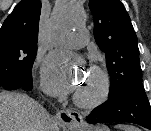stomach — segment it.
Segmentation results:
<instances>
[{"label": "stomach", "instance_id": "1", "mask_svg": "<svg viewBox=\"0 0 151 131\" xmlns=\"http://www.w3.org/2000/svg\"><path fill=\"white\" fill-rule=\"evenodd\" d=\"M77 131L78 129H82V131H110L108 127L104 125H96L93 127L81 126L75 128Z\"/></svg>", "mask_w": 151, "mask_h": 131}]
</instances>
